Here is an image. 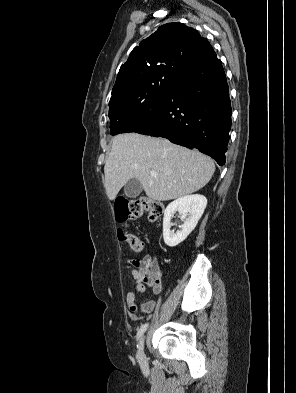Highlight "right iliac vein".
Here are the masks:
<instances>
[{"label":"right iliac vein","mask_w":296,"mask_h":393,"mask_svg":"<svg viewBox=\"0 0 296 393\" xmlns=\"http://www.w3.org/2000/svg\"><path fill=\"white\" fill-rule=\"evenodd\" d=\"M144 336L140 339V347H139V351H138V359L140 361L144 360Z\"/></svg>","instance_id":"1"}]
</instances>
